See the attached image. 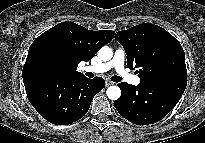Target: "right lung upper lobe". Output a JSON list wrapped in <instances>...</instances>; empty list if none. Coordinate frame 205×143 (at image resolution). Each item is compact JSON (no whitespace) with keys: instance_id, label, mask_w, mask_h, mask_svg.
<instances>
[{"instance_id":"1","label":"right lung upper lobe","mask_w":205,"mask_h":143,"mask_svg":"<svg viewBox=\"0 0 205 143\" xmlns=\"http://www.w3.org/2000/svg\"><path fill=\"white\" fill-rule=\"evenodd\" d=\"M115 32L109 30L92 31L73 22H62L41 34L31 44L23 71L38 67L35 62L37 50L45 45L57 46L65 55L59 72L68 76H83L76 68L81 61H89L98 50L109 43Z\"/></svg>"}]
</instances>
